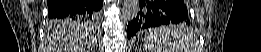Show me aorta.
<instances>
[{"label":"aorta","instance_id":"762f6f07","mask_svg":"<svg viewBox=\"0 0 261 52\" xmlns=\"http://www.w3.org/2000/svg\"><path fill=\"white\" fill-rule=\"evenodd\" d=\"M140 11L138 0H124L122 18L126 21L134 20Z\"/></svg>","mask_w":261,"mask_h":52}]
</instances>
